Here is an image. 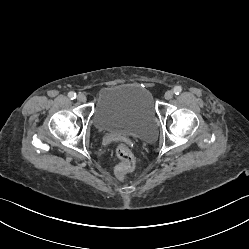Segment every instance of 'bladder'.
I'll use <instances>...</instances> for the list:
<instances>
[{"mask_svg": "<svg viewBox=\"0 0 249 249\" xmlns=\"http://www.w3.org/2000/svg\"><path fill=\"white\" fill-rule=\"evenodd\" d=\"M93 124L103 132H117L144 141L157 135V113L149 92L122 83L103 88L98 96Z\"/></svg>", "mask_w": 249, "mask_h": 249, "instance_id": "1", "label": "bladder"}]
</instances>
